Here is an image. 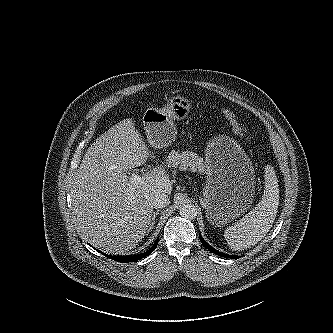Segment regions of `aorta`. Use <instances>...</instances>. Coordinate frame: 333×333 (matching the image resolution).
I'll return each instance as SVG.
<instances>
[{
	"label": "aorta",
	"instance_id": "aorta-1",
	"mask_svg": "<svg viewBox=\"0 0 333 333\" xmlns=\"http://www.w3.org/2000/svg\"><path fill=\"white\" fill-rule=\"evenodd\" d=\"M179 213L183 218L192 220L196 218L198 211L194 204L185 203L180 206Z\"/></svg>",
	"mask_w": 333,
	"mask_h": 333
}]
</instances>
